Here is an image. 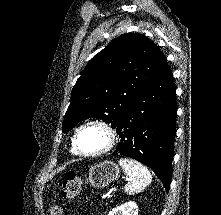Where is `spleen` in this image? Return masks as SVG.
Here are the masks:
<instances>
[{
  "instance_id": "3e777b00",
  "label": "spleen",
  "mask_w": 221,
  "mask_h": 215,
  "mask_svg": "<svg viewBox=\"0 0 221 215\" xmlns=\"http://www.w3.org/2000/svg\"><path fill=\"white\" fill-rule=\"evenodd\" d=\"M119 165L129 177V181L124 187L127 194L139 193L151 183V173L141 163L129 158H121Z\"/></svg>"
}]
</instances>
